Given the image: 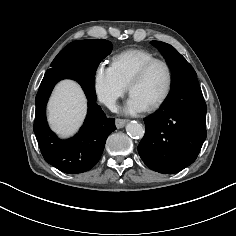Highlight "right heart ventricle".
I'll return each mask as SVG.
<instances>
[{
  "instance_id": "obj_1",
  "label": "right heart ventricle",
  "mask_w": 236,
  "mask_h": 236,
  "mask_svg": "<svg viewBox=\"0 0 236 236\" xmlns=\"http://www.w3.org/2000/svg\"><path fill=\"white\" fill-rule=\"evenodd\" d=\"M152 52L142 48L123 50L113 57L112 66L121 81L129 86L138 70L148 61L155 59Z\"/></svg>"
}]
</instances>
